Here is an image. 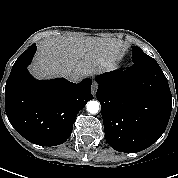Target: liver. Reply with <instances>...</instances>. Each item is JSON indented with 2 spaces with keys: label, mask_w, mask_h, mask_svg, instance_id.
Here are the masks:
<instances>
[{
  "label": "liver",
  "mask_w": 178,
  "mask_h": 178,
  "mask_svg": "<svg viewBox=\"0 0 178 178\" xmlns=\"http://www.w3.org/2000/svg\"><path fill=\"white\" fill-rule=\"evenodd\" d=\"M126 45L114 39L95 37H57L42 40L31 68L37 78L53 75L86 77L115 67Z\"/></svg>",
  "instance_id": "6515ba94"
}]
</instances>
